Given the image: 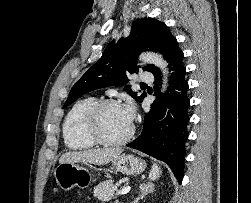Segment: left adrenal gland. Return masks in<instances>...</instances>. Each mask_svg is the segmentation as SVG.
<instances>
[{
	"instance_id": "1",
	"label": "left adrenal gland",
	"mask_w": 251,
	"mask_h": 203,
	"mask_svg": "<svg viewBox=\"0 0 251 203\" xmlns=\"http://www.w3.org/2000/svg\"><path fill=\"white\" fill-rule=\"evenodd\" d=\"M140 195L131 203H138L139 200L143 199L148 193L154 192V185L153 184H142L139 187Z\"/></svg>"
}]
</instances>
